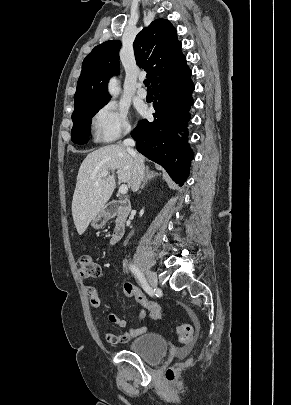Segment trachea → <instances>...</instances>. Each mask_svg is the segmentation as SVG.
<instances>
[{
    "instance_id": "trachea-1",
    "label": "trachea",
    "mask_w": 291,
    "mask_h": 405,
    "mask_svg": "<svg viewBox=\"0 0 291 405\" xmlns=\"http://www.w3.org/2000/svg\"><path fill=\"white\" fill-rule=\"evenodd\" d=\"M144 84H145V86H146L148 89H150V83H149V80H148V79H145V80H144Z\"/></svg>"
}]
</instances>
